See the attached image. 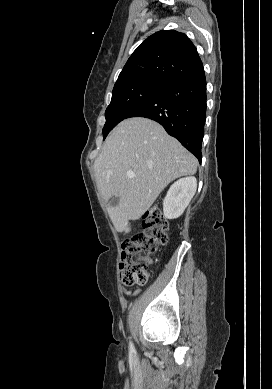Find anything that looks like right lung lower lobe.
<instances>
[{
  "instance_id": "1",
  "label": "right lung lower lobe",
  "mask_w": 272,
  "mask_h": 389,
  "mask_svg": "<svg viewBox=\"0 0 272 389\" xmlns=\"http://www.w3.org/2000/svg\"><path fill=\"white\" fill-rule=\"evenodd\" d=\"M206 99L205 72L201 65L167 83L126 118L145 117L160 123L201 162Z\"/></svg>"
}]
</instances>
